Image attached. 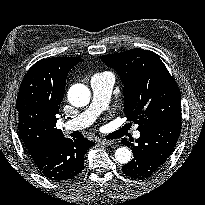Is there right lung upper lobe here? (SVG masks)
Returning <instances> with one entry per match:
<instances>
[{
  "label": "right lung upper lobe",
  "mask_w": 205,
  "mask_h": 205,
  "mask_svg": "<svg viewBox=\"0 0 205 205\" xmlns=\"http://www.w3.org/2000/svg\"><path fill=\"white\" fill-rule=\"evenodd\" d=\"M83 59L59 57L35 63L22 80L16 108L18 130L29 151L48 142L64 139L56 128L69 70Z\"/></svg>",
  "instance_id": "right-lung-upper-lobe-1"
}]
</instances>
